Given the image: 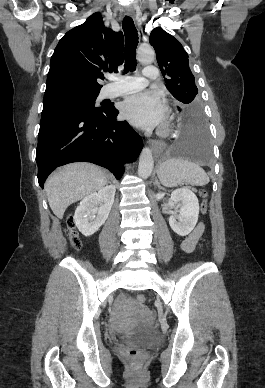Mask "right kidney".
Returning <instances> with one entry per match:
<instances>
[{"label": "right kidney", "instance_id": "ca27d5eb", "mask_svg": "<svg viewBox=\"0 0 265 388\" xmlns=\"http://www.w3.org/2000/svg\"><path fill=\"white\" fill-rule=\"evenodd\" d=\"M115 186H105L99 192L86 196L77 206L74 214L75 224L83 236H92L106 222L114 204ZM104 202L100 208H97Z\"/></svg>", "mask_w": 265, "mask_h": 388}]
</instances>
